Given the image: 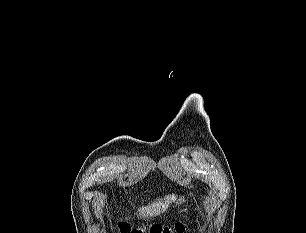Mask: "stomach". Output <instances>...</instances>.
Returning <instances> with one entry per match:
<instances>
[{
    "mask_svg": "<svg viewBox=\"0 0 306 233\" xmlns=\"http://www.w3.org/2000/svg\"><path fill=\"white\" fill-rule=\"evenodd\" d=\"M184 201H185V200H184V197H183V198L181 197V198L178 199L177 204H178V205H179V204H182V202H184Z\"/></svg>",
    "mask_w": 306,
    "mask_h": 233,
    "instance_id": "0dacf381",
    "label": "stomach"
}]
</instances>
